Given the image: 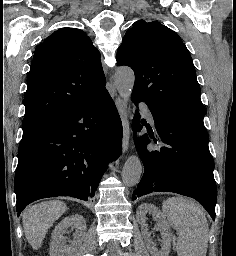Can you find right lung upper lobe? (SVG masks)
Wrapping results in <instances>:
<instances>
[{"label":"right lung upper lobe","mask_w":236,"mask_h":256,"mask_svg":"<svg viewBox=\"0 0 236 256\" xmlns=\"http://www.w3.org/2000/svg\"><path fill=\"white\" fill-rule=\"evenodd\" d=\"M100 53L76 28H61L34 53L24 96L23 122L49 120L106 90Z\"/></svg>","instance_id":"obj_1"}]
</instances>
